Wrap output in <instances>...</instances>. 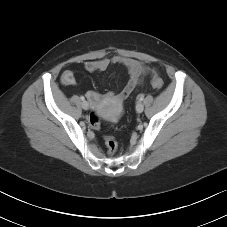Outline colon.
<instances>
[{"mask_svg":"<svg viewBox=\"0 0 227 227\" xmlns=\"http://www.w3.org/2000/svg\"><path fill=\"white\" fill-rule=\"evenodd\" d=\"M152 86L155 89L160 90L163 87L162 79L160 77H158V76H154L153 79H152ZM88 122H89V125H90V127L92 129H94V130L100 129L101 121H100L99 116L95 112L91 113V115L89 116ZM105 144H106L108 153L110 155H113V154L116 153V151H117V142L114 139V137L109 136V135L105 136Z\"/></svg>","mask_w":227,"mask_h":227,"instance_id":"5ec220e1","label":"colon"}]
</instances>
